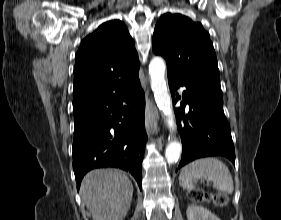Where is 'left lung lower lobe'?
<instances>
[{"mask_svg": "<svg viewBox=\"0 0 281 220\" xmlns=\"http://www.w3.org/2000/svg\"><path fill=\"white\" fill-rule=\"evenodd\" d=\"M173 102L175 91L185 86L183 99L188 100L189 114L176 109L178 131L183 145L179 168L201 157L220 155L235 163V151L230 125L223 111V99L199 84L168 77ZM179 98V96H176ZM186 102L181 103L185 109ZM180 114L183 120L180 118Z\"/></svg>", "mask_w": 281, "mask_h": 220, "instance_id": "obj_1", "label": "left lung lower lobe"}]
</instances>
